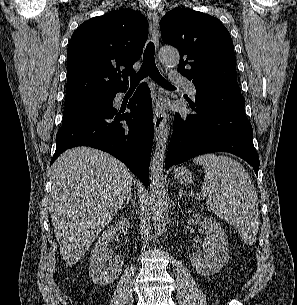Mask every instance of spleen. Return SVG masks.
Returning <instances> with one entry per match:
<instances>
[{
	"instance_id": "spleen-1",
	"label": "spleen",
	"mask_w": 297,
	"mask_h": 305,
	"mask_svg": "<svg viewBox=\"0 0 297 305\" xmlns=\"http://www.w3.org/2000/svg\"><path fill=\"white\" fill-rule=\"evenodd\" d=\"M193 162L204 168L202 190L206 205L218 217L238 230L245 243L256 241L259 229L257 193L250 175L236 160L204 154Z\"/></svg>"
}]
</instances>
